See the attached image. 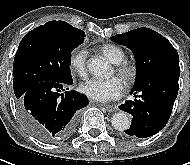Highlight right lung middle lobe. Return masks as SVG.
Wrapping results in <instances>:
<instances>
[{
  "label": "right lung middle lobe",
  "instance_id": "obj_1",
  "mask_svg": "<svg viewBox=\"0 0 190 165\" xmlns=\"http://www.w3.org/2000/svg\"><path fill=\"white\" fill-rule=\"evenodd\" d=\"M84 39V31L63 21H50L27 33L14 59L16 98H21L31 86L40 82L72 80L71 52Z\"/></svg>",
  "mask_w": 190,
  "mask_h": 165
}]
</instances>
